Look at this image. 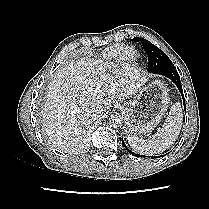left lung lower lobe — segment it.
Listing matches in <instances>:
<instances>
[{"mask_svg":"<svg viewBox=\"0 0 209 209\" xmlns=\"http://www.w3.org/2000/svg\"><path fill=\"white\" fill-rule=\"evenodd\" d=\"M158 74L163 75V76H165V77L171 79V80L176 84V86L178 87V89H179V91H180V93H181V95H182V98H183L184 109H186V107H185L184 94H183V90H182V85H181L180 77H179V74H178L176 68H174V69H169V70H164V71H161V72L158 73ZM122 144H123V146L126 148V150H127L130 154L135 155L132 151H130V150L125 146V143L123 142V140H122ZM136 156L142 157V155H139V154H138V155L136 154ZM163 156H164V155H163ZM156 158H159V156L156 157Z\"/></svg>","mask_w":209,"mask_h":209,"instance_id":"left-lung-lower-lobe-1","label":"left lung lower lobe"}]
</instances>
